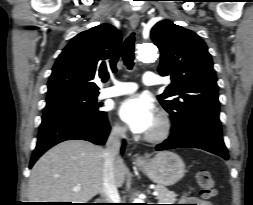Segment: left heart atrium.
Wrapping results in <instances>:
<instances>
[{
	"instance_id": "39dd6f15",
	"label": "left heart atrium",
	"mask_w": 253,
	"mask_h": 205,
	"mask_svg": "<svg viewBox=\"0 0 253 205\" xmlns=\"http://www.w3.org/2000/svg\"><path fill=\"white\" fill-rule=\"evenodd\" d=\"M118 115L133 133L144 134L151 131L157 122L154 104L146 97L135 95L121 102Z\"/></svg>"
}]
</instances>
